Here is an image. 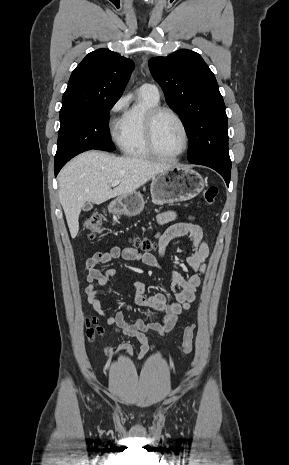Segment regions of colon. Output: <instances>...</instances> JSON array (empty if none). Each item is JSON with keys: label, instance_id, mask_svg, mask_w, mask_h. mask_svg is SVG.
Listing matches in <instances>:
<instances>
[{"label": "colon", "instance_id": "1", "mask_svg": "<svg viewBox=\"0 0 289 465\" xmlns=\"http://www.w3.org/2000/svg\"><path fill=\"white\" fill-rule=\"evenodd\" d=\"M218 189L215 186H209L203 192V200L207 205L214 203L217 197ZM104 218L100 213L91 214L84 223L85 230L89 233L90 238H94L96 234L102 232ZM136 244L144 251H150L154 248V242L148 238H139ZM195 324H190L185 328L182 342V349L185 354L192 351L193 336L195 332ZM103 329L98 325L95 318L88 319L87 321V337L93 339L95 336L100 335Z\"/></svg>", "mask_w": 289, "mask_h": 465}]
</instances>
